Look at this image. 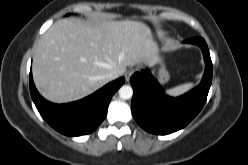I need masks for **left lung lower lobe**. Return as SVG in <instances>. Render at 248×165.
<instances>
[{
	"mask_svg": "<svg viewBox=\"0 0 248 165\" xmlns=\"http://www.w3.org/2000/svg\"><path fill=\"white\" fill-rule=\"evenodd\" d=\"M198 45L206 68L199 86L172 98L167 96L148 71L136 72L130 79L134 90L131 109L137 123L153 134L165 135L185 127L202 109L212 82V61L203 38L185 41Z\"/></svg>",
	"mask_w": 248,
	"mask_h": 165,
	"instance_id": "left-lung-lower-lobe-1",
	"label": "left lung lower lobe"
}]
</instances>
